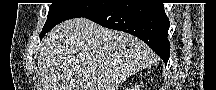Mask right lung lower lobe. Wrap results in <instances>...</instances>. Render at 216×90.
Instances as JSON below:
<instances>
[{
	"label": "right lung lower lobe",
	"mask_w": 216,
	"mask_h": 90,
	"mask_svg": "<svg viewBox=\"0 0 216 90\" xmlns=\"http://www.w3.org/2000/svg\"><path fill=\"white\" fill-rule=\"evenodd\" d=\"M85 18L101 26L135 35L167 64L170 54L167 38L169 19L163 4H112Z\"/></svg>",
	"instance_id": "98d812e1"
}]
</instances>
